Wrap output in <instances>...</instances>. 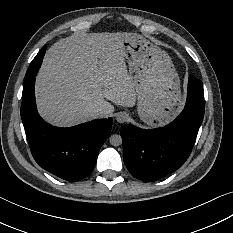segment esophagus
Segmentation results:
<instances>
[{
	"instance_id": "esophagus-1",
	"label": "esophagus",
	"mask_w": 233,
	"mask_h": 233,
	"mask_svg": "<svg viewBox=\"0 0 233 233\" xmlns=\"http://www.w3.org/2000/svg\"><path fill=\"white\" fill-rule=\"evenodd\" d=\"M129 118V115L125 112H121L119 113L117 116H116V120L119 122V123H124L128 120Z\"/></svg>"
}]
</instances>
